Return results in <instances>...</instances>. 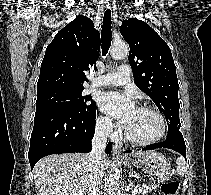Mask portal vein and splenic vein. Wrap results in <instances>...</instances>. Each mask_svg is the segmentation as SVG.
Returning <instances> with one entry per match:
<instances>
[{"mask_svg": "<svg viewBox=\"0 0 211 195\" xmlns=\"http://www.w3.org/2000/svg\"><path fill=\"white\" fill-rule=\"evenodd\" d=\"M138 190H139V186H136L132 191V195H136L138 193Z\"/></svg>", "mask_w": 211, "mask_h": 195, "instance_id": "1", "label": "portal vein and splenic vein"}]
</instances>
